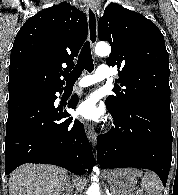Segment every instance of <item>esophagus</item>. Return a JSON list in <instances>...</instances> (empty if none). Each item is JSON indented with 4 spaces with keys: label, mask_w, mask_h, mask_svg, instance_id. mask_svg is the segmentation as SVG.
<instances>
[{
    "label": "esophagus",
    "mask_w": 178,
    "mask_h": 195,
    "mask_svg": "<svg viewBox=\"0 0 178 195\" xmlns=\"http://www.w3.org/2000/svg\"><path fill=\"white\" fill-rule=\"evenodd\" d=\"M86 14L88 21L89 41L91 44V48L93 49L98 40L96 7L93 3H89L87 5ZM84 126L86 134L90 142L94 146L97 136L93 129V126L89 122H85Z\"/></svg>",
    "instance_id": "1"
}]
</instances>
